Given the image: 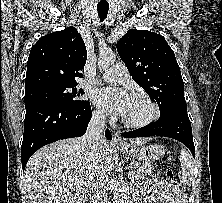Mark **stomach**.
<instances>
[{"label": "stomach", "mask_w": 222, "mask_h": 203, "mask_svg": "<svg viewBox=\"0 0 222 203\" xmlns=\"http://www.w3.org/2000/svg\"><path fill=\"white\" fill-rule=\"evenodd\" d=\"M122 151L143 162H150L161 158L165 154V147L163 145H137L130 144L122 147Z\"/></svg>", "instance_id": "stomach-1"}]
</instances>
